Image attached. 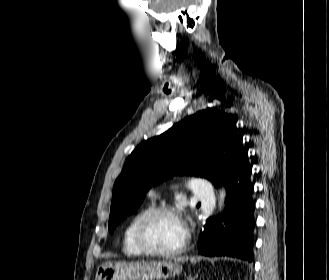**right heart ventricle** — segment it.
Listing matches in <instances>:
<instances>
[{"label": "right heart ventricle", "instance_id": "right-heart-ventricle-1", "mask_svg": "<svg viewBox=\"0 0 329 280\" xmlns=\"http://www.w3.org/2000/svg\"><path fill=\"white\" fill-rule=\"evenodd\" d=\"M151 208L152 205H147L142 207L136 213L133 214V216L126 224L122 234L123 252L126 255L137 257V256H142L144 254L135 242L134 232L138 221Z\"/></svg>", "mask_w": 329, "mask_h": 280}]
</instances>
